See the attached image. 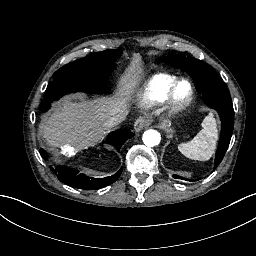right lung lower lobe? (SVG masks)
Segmentation results:
<instances>
[{
	"mask_svg": "<svg viewBox=\"0 0 256 256\" xmlns=\"http://www.w3.org/2000/svg\"><path fill=\"white\" fill-rule=\"evenodd\" d=\"M134 134L128 129H120L111 133L107 137V143L112 144L118 151L121 146ZM41 156L46 160L47 152L40 149ZM53 173H55L58 179L74 188L94 190L105 187L114 183L122 172V168L114 175L104 178H92L84 174H79L78 170L71 169L66 166L51 167Z\"/></svg>",
	"mask_w": 256,
	"mask_h": 256,
	"instance_id": "98d812e1",
	"label": "right lung lower lobe"
}]
</instances>
